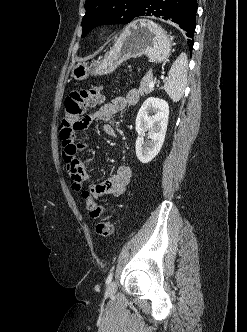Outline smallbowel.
Instances as JSON below:
<instances>
[{"label": "small bowel", "mask_w": 247, "mask_h": 332, "mask_svg": "<svg viewBox=\"0 0 247 332\" xmlns=\"http://www.w3.org/2000/svg\"><path fill=\"white\" fill-rule=\"evenodd\" d=\"M139 99L135 89L129 90L125 95L118 96L109 103L101 106L97 111L86 117V123L96 120L104 123L103 131L110 137H116V131L110 121L113 116L126 108L134 107ZM63 159L71 178L72 189L76 192L87 190L96 200L99 197L121 196L131 181L132 170L127 165H121L116 173L107 181L92 185L84 189L89 176L83 163L77 158V153L84 147L83 143H76L74 136L68 142H63Z\"/></svg>", "instance_id": "obj_1"}]
</instances>
